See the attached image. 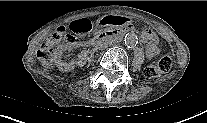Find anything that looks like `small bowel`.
<instances>
[{"mask_svg": "<svg viewBox=\"0 0 207 123\" xmlns=\"http://www.w3.org/2000/svg\"><path fill=\"white\" fill-rule=\"evenodd\" d=\"M129 24L128 18H115V17H103L101 19V26L108 27L110 26H127ZM91 28V21L89 19H80L79 21H73L71 23V31L75 34L84 33ZM143 41L147 42L149 46L156 45V36L155 34L146 29L142 32Z\"/></svg>", "mask_w": 207, "mask_h": 123, "instance_id": "c3829d8e", "label": "small bowel"}]
</instances>
